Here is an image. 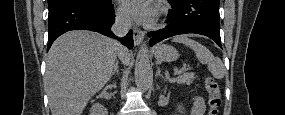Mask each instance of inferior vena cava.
Instances as JSON below:
<instances>
[{
    "instance_id": "inferior-vena-cava-1",
    "label": "inferior vena cava",
    "mask_w": 285,
    "mask_h": 115,
    "mask_svg": "<svg viewBox=\"0 0 285 115\" xmlns=\"http://www.w3.org/2000/svg\"><path fill=\"white\" fill-rule=\"evenodd\" d=\"M131 24H132V21L128 15L118 14L116 16L115 23L113 24L111 30L116 36L123 37L128 33L129 29L131 28ZM114 43L118 47H121L119 42L114 41Z\"/></svg>"
}]
</instances>
